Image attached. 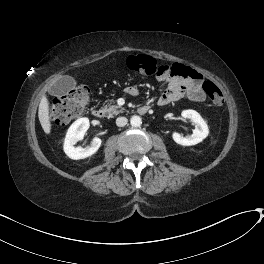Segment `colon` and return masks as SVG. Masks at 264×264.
<instances>
[{
  "instance_id": "obj_1",
  "label": "colon",
  "mask_w": 264,
  "mask_h": 264,
  "mask_svg": "<svg viewBox=\"0 0 264 264\" xmlns=\"http://www.w3.org/2000/svg\"><path fill=\"white\" fill-rule=\"evenodd\" d=\"M125 65L130 70L146 75H156L159 78L169 76L172 71L170 66L160 65L147 55L128 56L125 59ZM202 88L213 105L220 106L223 103V94L214 82L207 80L203 83ZM89 100V87L78 85L66 96L50 102V114L56 123L66 124L83 114Z\"/></svg>"
}]
</instances>
